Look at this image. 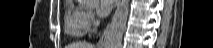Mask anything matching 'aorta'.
Segmentation results:
<instances>
[{"label":"aorta","instance_id":"1","mask_svg":"<svg viewBox=\"0 0 213 48\" xmlns=\"http://www.w3.org/2000/svg\"><path fill=\"white\" fill-rule=\"evenodd\" d=\"M85 4H95L98 0H78ZM129 0H119L116 10L113 14L107 32L105 34L104 48H120L123 38V33L126 28V23L130 11Z\"/></svg>","mask_w":213,"mask_h":48}]
</instances>
